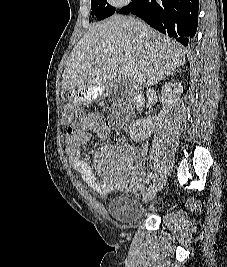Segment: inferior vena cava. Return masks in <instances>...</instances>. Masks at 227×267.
I'll list each match as a JSON object with an SVG mask.
<instances>
[{
  "label": "inferior vena cava",
  "instance_id": "1",
  "mask_svg": "<svg viewBox=\"0 0 227 267\" xmlns=\"http://www.w3.org/2000/svg\"><path fill=\"white\" fill-rule=\"evenodd\" d=\"M141 29H142L143 33H146L147 32V25L144 23H141Z\"/></svg>",
  "mask_w": 227,
  "mask_h": 267
}]
</instances>
